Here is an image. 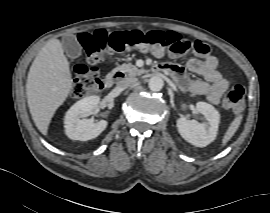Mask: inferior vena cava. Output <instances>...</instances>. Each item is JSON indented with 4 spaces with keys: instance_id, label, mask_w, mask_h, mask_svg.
<instances>
[{
    "instance_id": "1",
    "label": "inferior vena cava",
    "mask_w": 270,
    "mask_h": 213,
    "mask_svg": "<svg viewBox=\"0 0 270 213\" xmlns=\"http://www.w3.org/2000/svg\"><path fill=\"white\" fill-rule=\"evenodd\" d=\"M136 82H137L136 78H129V77L123 78L118 82L117 87L120 90H124V89L130 87L131 85L135 84Z\"/></svg>"
}]
</instances>
